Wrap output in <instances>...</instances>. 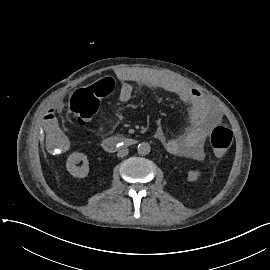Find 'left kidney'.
<instances>
[{
  "mask_svg": "<svg viewBox=\"0 0 270 270\" xmlns=\"http://www.w3.org/2000/svg\"><path fill=\"white\" fill-rule=\"evenodd\" d=\"M203 175V172L201 170H188L187 171V182H196L198 179H200Z\"/></svg>",
  "mask_w": 270,
  "mask_h": 270,
  "instance_id": "1",
  "label": "left kidney"
}]
</instances>
